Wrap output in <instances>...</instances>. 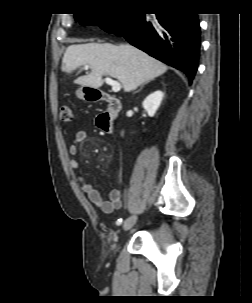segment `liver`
<instances>
[{
	"mask_svg": "<svg viewBox=\"0 0 252 303\" xmlns=\"http://www.w3.org/2000/svg\"><path fill=\"white\" fill-rule=\"evenodd\" d=\"M83 65H89L91 73L75 79V84L99 88L103 85L102 77L111 76L121 82L125 92L167 71L165 64L129 44L70 45L62 59V70L71 73Z\"/></svg>",
	"mask_w": 252,
	"mask_h": 303,
	"instance_id": "1",
	"label": "liver"
}]
</instances>
